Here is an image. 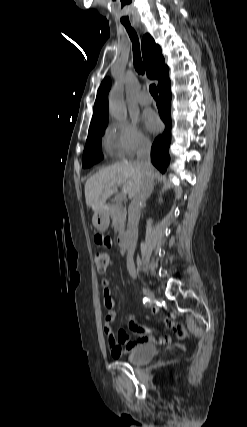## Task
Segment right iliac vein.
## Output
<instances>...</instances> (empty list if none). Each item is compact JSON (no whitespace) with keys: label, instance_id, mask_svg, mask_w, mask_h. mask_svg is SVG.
Here are the masks:
<instances>
[{"label":"right iliac vein","instance_id":"1","mask_svg":"<svg viewBox=\"0 0 247 427\" xmlns=\"http://www.w3.org/2000/svg\"><path fill=\"white\" fill-rule=\"evenodd\" d=\"M142 291H143L144 295L147 296L150 300H152V301L155 300V295L150 290L143 287Z\"/></svg>","mask_w":247,"mask_h":427}]
</instances>
